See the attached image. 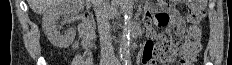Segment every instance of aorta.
Wrapping results in <instances>:
<instances>
[{"label": "aorta", "instance_id": "762f6f07", "mask_svg": "<svg viewBox=\"0 0 232 65\" xmlns=\"http://www.w3.org/2000/svg\"><path fill=\"white\" fill-rule=\"evenodd\" d=\"M119 2L125 22L121 41V53L124 56H128L130 49V28L132 25L131 19L133 16V0H119Z\"/></svg>", "mask_w": 232, "mask_h": 65}]
</instances>
